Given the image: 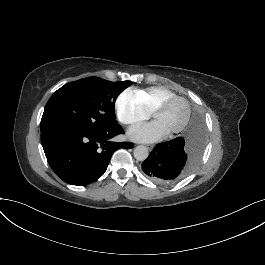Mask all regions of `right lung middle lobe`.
<instances>
[{
    "mask_svg": "<svg viewBox=\"0 0 265 265\" xmlns=\"http://www.w3.org/2000/svg\"><path fill=\"white\" fill-rule=\"evenodd\" d=\"M131 81L89 77L65 84L51 96L41 119V133L61 126L109 128L118 125L114 104Z\"/></svg>",
    "mask_w": 265,
    "mask_h": 265,
    "instance_id": "right-lung-middle-lobe-1",
    "label": "right lung middle lobe"
}]
</instances>
